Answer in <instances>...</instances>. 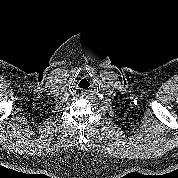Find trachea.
Wrapping results in <instances>:
<instances>
[{
  "label": "trachea",
  "instance_id": "trachea-1",
  "mask_svg": "<svg viewBox=\"0 0 178 178\" xmlns=\"http://www.w3.org/2000/svg\"><path fill=\"white\" fill-rule=\"evenodd\" d=\"M90 87V82L87 79H81L78 82V88L81 90H87Z\"/></svg>",
  "mask_w": 178,
  "mask_h": 178
}]
</instances>
